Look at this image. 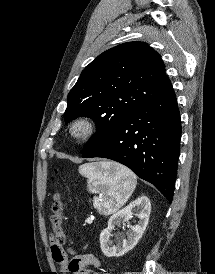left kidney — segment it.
Wrapping results in <instances>:
<instances>
[{
    "mask_svg": "<svg viewBox=\"0 0 215 274\" xmlns=\"http://www.w3.org/2000/svg\"><path fill=\"white\" fill-rule=\"evenodd\" d=\"M151 204L146 196H141L122 210L113 214L109 221L108 227L100 234V247L103 254L107 257H120L135 247L142 237L149 221ZM134 212H138L136 216L139 218L137 225L131 227V231L127 234V239L119 237L116 245L110 240L113 236L112 230L115 225L128 222Z\"/></svg>",
    "mask_w": 215,
    "mask_h": 274,
    "instance_id": "left-kidney-1",
    "label": "left kidney"
}]
</instances>
